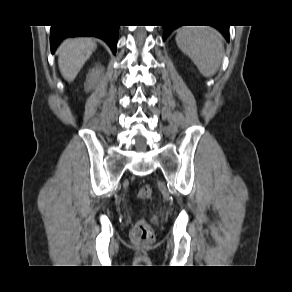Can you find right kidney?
<instances>
[{"mask_svg": "<svg viewBox=\"0 0 292 292\" xmlns=\"http://www.w3.org/2000/svg\"><path fill=\"white\" fill-rule=\"evenodd\" d=\"M103 73V67L96 66L95 68L91 69L87 75L86 78V84H85V90L89 91L92 89L97 81L100 79L101 75Z\"/></svg>", "mask_w": 292, "mask_h": 292, "instance_id": "ca27d5eb", "label": "right kidney"}]
</instances>
